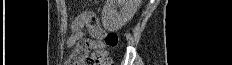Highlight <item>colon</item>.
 Here are the masks:
<instances>
[{"label": "colon", "mask_w": 232, "mask_h": 65, "mask_svg": "<svg viewBox=\"0 0 232 65\" xmlns=\"http://www.w3.org/2000/svg\"><path fill=\"white\" fill-rule=\"evenodd\" d=\"M118 41L116 34L109 33L98 44L90 39L82 40L77 46V51L87 65H111L106 49L116 47Z\"/></svg>", "instance_id": "5ec220e1"}]
</instances>
